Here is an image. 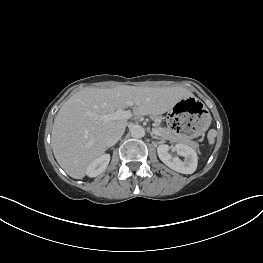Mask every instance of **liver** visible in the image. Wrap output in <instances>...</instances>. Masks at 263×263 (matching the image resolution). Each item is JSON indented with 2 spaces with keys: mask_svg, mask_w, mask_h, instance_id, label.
<instances>
[{
  "mask_svg": "<svg viewBox=\"0 0 263 263\" xmlns=\"http://www.w3.org/2000/svg\"><path fill=\"white\" fill-rule=\"evenodd\" d=\"M190 96L182 87L85 88L69 98L54 119L51 145L55 159L70 177L82 179L87 167L106 151L109 133L126 127L127 119L104 122L101 116L127 107L129 101L136 116L159 115Z\"/></svg>",
  "mask_w": 263,
  "mask_h": 263,
  "instance_id": "obj_1",
  "label": "liver"
}]
</instances>
